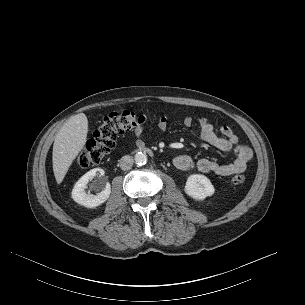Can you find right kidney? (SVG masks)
Masks as SVG:
<instances>
[{"label": "right kidney", "instance_id": "right-kidney-1", "mask_svg": "<svg viewBox=\"0 0 305 305\" xmlns=\"http://www.w3.org/2000/svg\"><path fill=\"white\" fill-rule=\"evenodd\" d=\"M97 174L104 175V170L95 168L84 174L74 185L72 198L75 202L88 208H94L103 204L110 196L111 187L108 182L101 183L97 189H102L97 195L86 193L87 184Z\"/></svg>", "mask_w": 305, "mask_h": 305}]
</instances>
